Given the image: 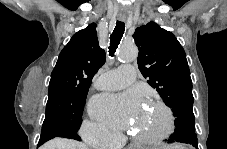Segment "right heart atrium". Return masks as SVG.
<instances>
[{"label":"right heart atrium","instance_id":"d8ad5b80","mask_svg":"<svg viewBox=\"0 0 227 149\" xmlns=\"http://www.w3.org/2000/svg\"><path fill=\"white\" fill-rule=\"evenodd\" d=\"M83 140L92 146L114 145L116 135L94 120H85L80 130Z\"/></svg>","mask_w":227,"mask_h":149}]
</instances>
